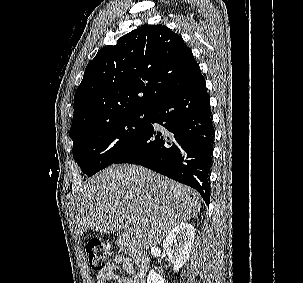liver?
<instances>
[{"label":"liver","instance_id":"1","mask_svg":"<svg viewBox=\"0 0 303 283\" xmlns=\"http://www.w3.org/2000/svg\"><path fill=\"white\" fill-rule=\"evenodd\" d=\"M76 234L87 229L114 233L122 218L132 226L127 241L148 250L177 225L198 215L199 194L192 188L136 165H111L89 178L77 197Z\"/></svg>","mask_w":303,"mask_h":283}]
</instances>
